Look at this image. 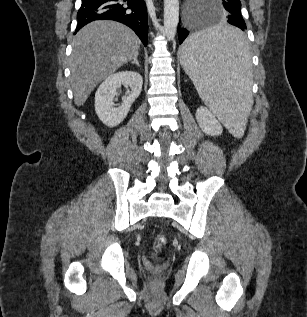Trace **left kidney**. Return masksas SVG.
<instances>
[{"label":"left kidney","mask_w":307,"mask_h":317,"mask_svg":"<svg viewBox=\"0 0 307 317\" xmlns=\"http://www.w3.org/2000/svg\"><path fill=\"white\" fill-rule=\"evenodd\" d=\"M195 116L200 128L204 133L211 136L222 134L223 128L221 124L206 107H199Z\"/></svg>","instance_id":"1"}]
</instances>
